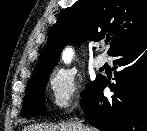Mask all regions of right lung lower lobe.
Masks as SVG:
<instances>
[{
	"label": "right lung lower lobe",
	"instance_id": "98d812e1",
	"mask_svg": "<svg viewBox=\"0 0 147 131\" xmlns=\"http://www.w3.org/2000/svg\"><path fill=\"white\" fill-rule=\"evenodd\" d=\"M115 83L97 77L82 97L89 123L101 131H147V35L113 54ZM109 85L110 97L103 95Z\"/></svg>",
	"mask_w": 147,
	"mask_h": 131
}]
</instances>
